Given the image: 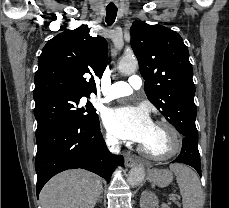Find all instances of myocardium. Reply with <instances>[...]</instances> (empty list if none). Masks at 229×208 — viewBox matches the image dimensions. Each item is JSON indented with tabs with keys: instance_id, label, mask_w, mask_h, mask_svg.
<instances>
[{
	"instance_id": "obj_1",
	"label": "myocardium",
	"mask_w": 229,
	"mask_h": 208,
	"mask_svg": "<svg viewBox=\"0 0 229 208\" xmlns=\"http://www.w3.org/2000/svg\"><path fill=\"white\" fill-rule=\"evenodd\" d=\"M154 125L156 126H160V127H165L168 128L169 130H166V135H169L168 138V143H170V147H176V149L168 154H164V155H160L157 156V154L150 152L146 147H144L143 145L140 146L141 151L151 160H155V161H166V160H170L174 157H176L177 155H179L184 147V137L183 134L181 133V131L174 126L173 124H171L168 121H156L154 122Z\"/></svg>"
}]
</instances>
